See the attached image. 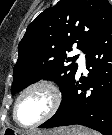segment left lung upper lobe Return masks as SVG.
I'll list each match as a JSON object with an SVG mask.
<instances>
[{"mask_svg":"<svg viewBox=\"0 0 112 135\" xmlns=\"http://www.w3.org/2000/svg\"><path fill=\"white\" fill-rule=\"evenodd\" d=\"M112 23L108 0H60L28 25L18 45L12 94L41 79L54 80L62 95L75 76L78 55L86 53Z\"/></svg>","mask_w":112,"mask_h":135,"instance_id":"left-lung-upper-lobe-1","label":"left lung upper lobe"}]
</instances>
